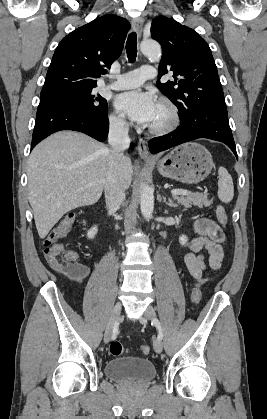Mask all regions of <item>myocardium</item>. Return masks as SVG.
Here are the masks:
<instances>
[{"label":"myocardium","instance_id":"obj_1","mask_svg":"<svg viewBox=\"0 0 267 419\" xmlns=\"http://www.w3.org/2000/svg\"><path fill=\"white\" fill-rule=\"evenodd\" d=\"M161 106L166 108L169 113V119L166 123L158 126H150L148 131L152 135L162 136L173 132L180 124V113L178 107L169 99L162 98L159 100Z\"/></svg>","mask_w":267,"mask_h":419}]
</instances>
